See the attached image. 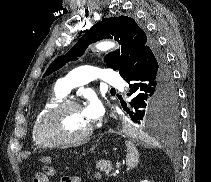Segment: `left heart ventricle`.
Returning <instances> with one entry per match:
<instances>
[{
  "mask_svg": "<svg viewBox=\"0 0 211 182\" xmlns=\"http://www.w3.org/2000/svg\"><path fill=\"white\" fill-rule=\"evenodd\" d=\"M91 122L81 108H67L56 115L46 127L50 139L75 138L90 127Z\"/></svg>",
  "mask_w": 211,
  "mask_h": 182,
  "instance_id": "left-heart-ventricle-1",
  "label": "left heart ventricle"
}]
</instances>
